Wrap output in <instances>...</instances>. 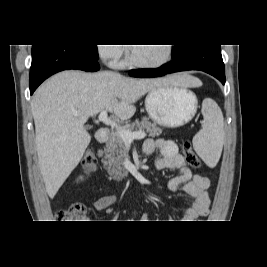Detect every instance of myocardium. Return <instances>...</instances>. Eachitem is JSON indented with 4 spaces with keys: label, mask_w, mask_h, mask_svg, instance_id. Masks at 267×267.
Here are the masks:
<instances>
[{
    "label": "myocardium",
    "mask_w": 267,
    "mask_h": 267,
    "mask_svg": "<svg viewBox=\"0 0 267 267\" xmlns=\"http://www.w3.org/2000/svg\"><path fill=\"white\" fill-rule=\"evenodd\" d=\"M166 46V55L165 57L157 62H152V63H143V62H138L135 60L132 51L129 50L128 54H127V63L133 67L136 68H143V69H152V68H158L161 66H164L165 64H167L171 58H172V54H173V48L170 44H165Z\"/></svg>",
    "instance_id": "1"
}]
</instances>
